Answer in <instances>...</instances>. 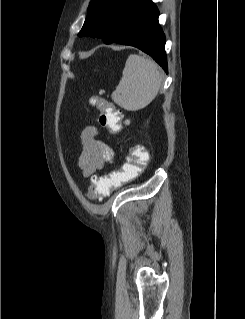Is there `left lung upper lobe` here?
<instances>
[{"mask_svg":"<svg viewBox=\"0 0 245 319\" xmlns=\"http://www.w3.org/2000/svg\"><path fill=\"white\" fill-rule=\"evenodd\" d=\"M149 0H92L78 36L102 38L112 43L127 20Z\"/></svg>","mask_w":245,"mask_h":319,"instance_id":"5c2ea615","label":"left lung upper lobe"}]
</instances>
